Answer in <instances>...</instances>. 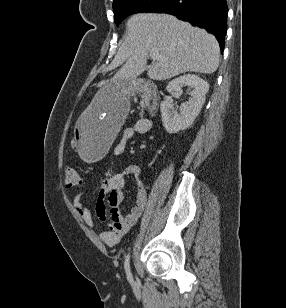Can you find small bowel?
<instances>
[{
  "instance_id": "1",
  "label": "small bowel",
  "mask_w": 286,
  "mask_h": 308,
  "mask_svg": "<svg viewBox=\"0 0 286 308\" xmlns=\"http://www.w3.org/2000/svg\"><path fill=\"white\" fill-rule=\"evenodd\" d=\"M152 129L153 122L149 119H140L133 127L125 128L122 132V142L115 150L116 155H121L124 152L125 142L132 136L148 133ZM129 177H134L137 181L136 204L128 214L122 216L119 206L124 200ZM146 194V185L141 178V168L136 164L126 166L121 173L109 177L102 183L95 210L99 220L109 219L111 221V228L100 233V238L107 246L117 245L138 222L146 207ZM73 206L87 225H95L90 210L84 204L83 193L74 197Z\"/></svg>"
}]
</instances>
